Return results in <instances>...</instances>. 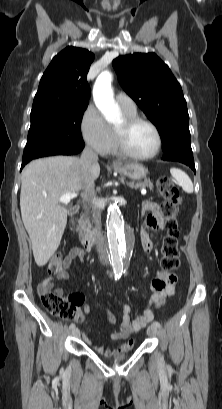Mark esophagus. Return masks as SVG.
<instances>
[{"mask_svg": "<svg viewBox=\"0 0 222 409\" xmlns=\"http://www.w3.org/2000/svg\"><path fill=\"white\" fill-rule=\"evenodd\" d=\"M112 165H113V166H119V165H120V162L117 161V160H114V161H112Z\"/></svg>", "mask_w": 222, "mask_h": 409, "instance_id": "obj_1", "label": "esophagus"}]
</instances>
